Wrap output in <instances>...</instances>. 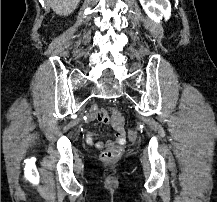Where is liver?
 Masks as SVG:
<instances>
[{
  "mask_svg": "<svg viewBox=\"0 0 217 202\" xmlns=\"http://www.w3.org/2000/svg\"><path fill=\"white\" fill-rule=\"evenodd\" d=\"M58 16H69L77 8L80 0H45Z\"/></svg>",
  "mask_w": 217,
  "mask_h": 202,
  "instance_id": "liver-1",
  "label": "liver"
}]
</instances>
